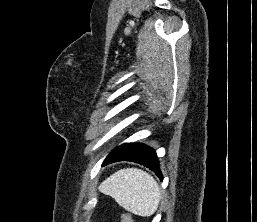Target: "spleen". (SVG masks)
Masks as SVG:
<instances>
[{
  "mask_svg": "<svg viewBox=\"0 0 257 222\" xmlns=\"http://www.w3.org/2000/svg\"><path fill=\"white\" fill-rule=\"evenodd\" d=\"M125 210L142 217L153 215L161 198L155 179L137 168L121 169L105 179L98 187Z\"/></svg>",
  "mask_w": 257,
  "mask_h": 222,
  "instance_id": "1",
  "label": "spleen"
}]
</instances>
